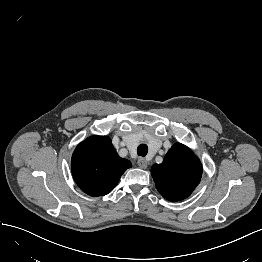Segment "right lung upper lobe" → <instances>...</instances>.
I'll list each match as a JSON object with an SVG mask.
<instances>
[{
  "label": "right lung upper lobe",
  "mask_w": 262,
  "mask_h": 262,
  "mask_svg": "<svg viewBox=\"0 0 262 262\" xmlns=\"http://www.w3.org/2000/svg\"><path fill=\"white\" fill-rule=\"evenodd\" d=\"M132 167L121 158L107 136H91L75 149L71 169L77 185L93 197L110 193L122 174Z\"/></svg>",
  "instance_id": "right-lung-upper-lobe-1"
}]
</instances>
